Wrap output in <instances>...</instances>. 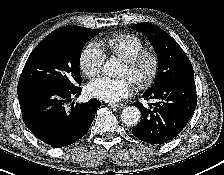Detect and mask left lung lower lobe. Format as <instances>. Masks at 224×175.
Listing matches in <instances>:
<instances>
[{
	"mask_svg": "<svg viewBox=\"0 0 224 175\" xmlns=\"http://www.w3.org/2000/svg\"><path fill=\"white\" fill-rule=\"evenodd\" d=\"M145 100L155 103L144 107L135 102L142 114L132 134L150 144H162L175 138L187 125L197 105L194 78H178L147 90Z\"/></svg>",
	"mask_w": 224,
	"mask_h": 175,
	"instance_id": "0a47b994",
	"label": "left lung lower lobe"
}]
</instances>
